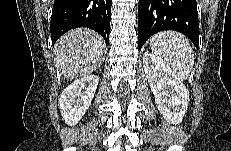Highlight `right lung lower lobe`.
I'll list each match as a JSON object with an SVG mask.
<instances>
[{"instance_id": "98d812e1", "label": "right lung lower lobe", "mask_w": 231, "mask_h": 151, "mask_svg": "<svg viewBox=\"0 0 231 151\" xmlns=\"http://www.w3.org/2000/svg\"><path fill=\"white\" fill-rule=\"evenodd\" d=\"M112 0H55L51 16L53 44L67 31L87 27L98 32L109 43Z\"/></svg>"}]
</instances>
